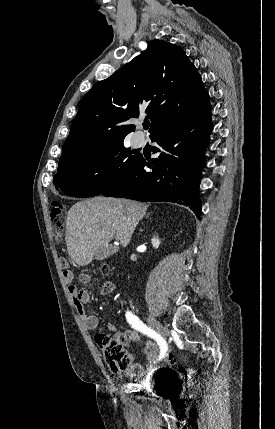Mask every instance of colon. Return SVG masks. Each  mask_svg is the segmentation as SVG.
<instances>
[{
	"mask_svg": "<svg viewBox=\"0 0 275 429\" xmlns=\"http://www.w3.org/2000/svg\"><path fill=\"white\" fill-rule=\"evenodd\" d=\"M50 225L53 237L56 240H61L65 230V211L63 205L59 202H53L51 205ZM60 265L64 271L68 270V263L64 258L60 259ZM98 270L102 274L109 273V267L106 265L99 267ZM95 340L102 350L105 362L111 371L118 372L130 366L131 355L124 349L119 338L98 334ZM170 360L171 357H168V361Z\"/></svg>",
	"mask_w": 275,
	"mask_h": 429,
	"instance_id": "5ec220e1",
	"label": "colon"
}]
</instances>
